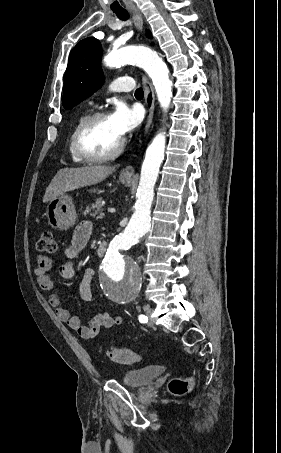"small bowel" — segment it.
I'll list each match as a JSON object with an SVG mask.
<instances>
[{
	"label": "small bowel",
	"instance_id": "obj_1",
	"mask_svg": "<svg viewBox=\"0 0 281 453\" xmlns=\"http://www.w3.org/2000/svg\"><path fill=\"white\" fill-rule=\"evenodd\" d=\"M93 228L90 222H80L73 233L71 243L65 249V259L60 267V274L63 278H73L76 275L75 260L79 257L82 250L88 245L92 236ZM104 240H99V245H105ZM52 259L47 255H39L34 265V274L38 279V285L41 290L49 291L53 288L52 282ZM93 269L87 268L78 286V295L84 300L91 299V280ZM49 302L52 307L57 308V315L61 322L67 323L68 326L76 331L82 339H92L101 328H110L122 324L121 316H110L104 312H97L93 315L90 323L84 325L78 316L73 315L68 309L62 306V299L59 293L49 294Z\"/></svg>",
	"mask_w": 281,
	"mask_h": 453
}]
</instances>
